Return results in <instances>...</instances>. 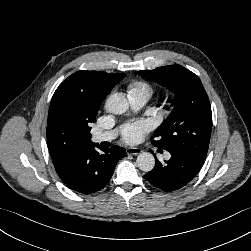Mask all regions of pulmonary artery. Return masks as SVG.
Instances as JSON below:
<instances>
[{"instance_id":"obj_1","label":"pulmonary artery","mask_w":251,"mask_h":251,"mask_svg":"<svg viewBox=\"0 0 251 251\" xmlns=\"http://www.w3.org/2000/svg\"><path fill=\"white\" fill-rule=\"evenodd\" d=\"M128 97H129L131 106L134 109H139L142 106H144L150 98L149 95L145 92H132L128 94ZM116 135H117V132L115 130L99 132L93 135V141L97 143L104 142V141H111L116 137ZM169 157L170 155L167 153L166 158H169Z\"/></svg>"}]
</instances>
